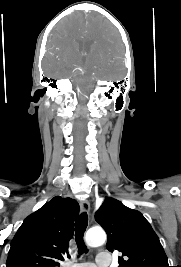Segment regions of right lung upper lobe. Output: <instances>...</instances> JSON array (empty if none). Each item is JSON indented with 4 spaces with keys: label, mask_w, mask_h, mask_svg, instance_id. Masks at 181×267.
I'll return each instance as SVG.
<instances>
[{
    "label": "right lung upper lobe",
    "mask_w": 181,
    "mask_h": 267,
    "mask_svg": "<svg viewBox=\"0 0 181 267\" xmlns=\"http://www.w3.org/2000/svg\"><path fill=\"white\" fill-rule=\"evenodd\" d=\"M79 204L56 196L29 215L11 242L6 267H56L64 260Z\"/></svg>",
    "instance_id": "cb5924a9"
}]
</instances>
